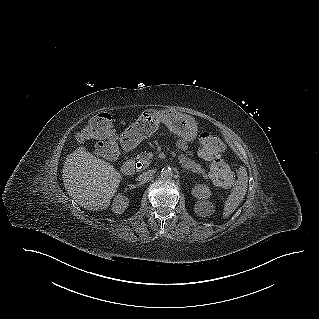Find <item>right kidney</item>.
I'll use <instances>...</instances> for the list:
<instances>
[{"label":"right kidney","mask_w":319,"mask_h":319,"mask_svg":"<svg viewBox=\"0 0 319 319\" xmlns=\"http://www.w3.org/2000/svg\"><path fill=\"white\" fill-rule=\"evenodd\" d=\"M128 205V198L122 194H118L113 200L112 211L116 214H122L128 208Z\"/></svg>","instance_id":"ca27d5eb"}]
</instances>
